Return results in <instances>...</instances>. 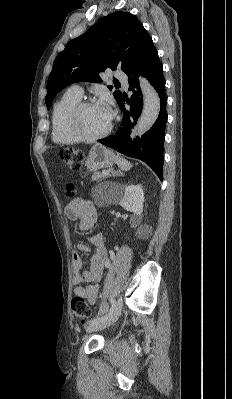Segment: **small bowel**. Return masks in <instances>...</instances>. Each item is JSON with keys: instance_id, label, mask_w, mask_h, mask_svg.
<instances>
[{"instance_id": "1", "label": "small bowel", "mask_w": 232, "mask_h": 399, "mask_svg": "<svg viewBox=\"0 0 232 399\" xmlns=\"http://www.w3.org/2000/svg\"><path fill=\"white\" fill-rule=\"evenodd\" d=\"M65 213L71 216L79 217V229L88 231L93 229L97 209L95 205L87 198H75L66 207ZM91 241L97 246L93 253L88 270L84 272L76 271L73 275V295L76 297H86L89 304L93 307L97 306L98 283L102 276V265L106 261V254L103 249L104 236L101 234L94 235ZM88 248L86 241H79L77 249L86 251ZM70 262L76 268L81 267L80 256L76 252L70 254ZM83 282H89L87 287L80 285Z\"/></svg>"}]
</instances>
